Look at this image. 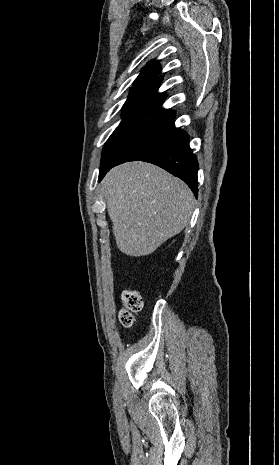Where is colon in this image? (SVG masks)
<instances>
[{"mask_svg": "<svg viewBox=\"0 0 279 465\" xmlns=\"http://www.w3.org/2000/svg\"><path fill=\"white\" fill-rule=\"evenodd\" d=\"M122 304L118 322L123 327H130L134 323V313L140 311L143 306L141 294L137 290H128L122 294Z\"/></svg>", "mask_w": 279, "mask_h": 465, "instance_id": "1", "label": "colon"}]
</instances>
